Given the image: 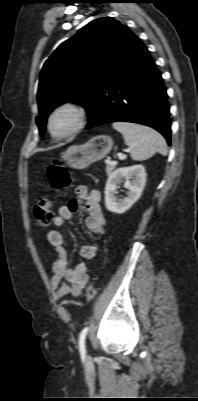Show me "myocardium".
Here are the masks:
<instances>
[{"label": "myocardium", "mask_w": 198, "mask_h": 401, "mask_svg": "<svg viewBox=\"0 0 198 401\" xmlns=\"http://www.w3.org/2000/svg\"><path fill=\"white\" fill-rule=\"evenodd\" d=\"M69 113L73 117V126L71 129L62 134H56L52 129L53 119L61 114ZM89 119V112L87 108L77 101H64L56 105L49 113L47 118V131L51 138L55 140H64L76 135L86 125Z\"/></svg>", "instance_id": "1"}]
</instances>
